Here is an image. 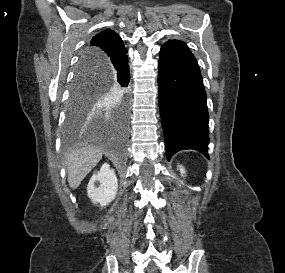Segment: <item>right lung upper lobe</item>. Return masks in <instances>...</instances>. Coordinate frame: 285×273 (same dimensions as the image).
Listing matches in <instances>:
<instances>
[{
	"mask_svg": "<svg viewBox=\"0 0 285 273\" xmlns=\"http://www.w3.org/2000/svg\"><path fill=\"white\" fill-rule=\"evenodd\" d=\"M127 50L120 36L109 29L96 34L86 46L80 60L82 68H90L89 62L97 57L106 59L122 56Z\"/></svg>",
	"mask_w": 285,
	"mask_h": 273,
	"instance_id": "cb5924a9",
	"label": "right lung upper lobe"
}]
</instances>
